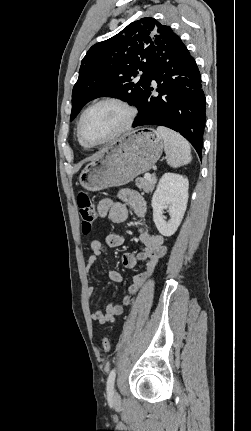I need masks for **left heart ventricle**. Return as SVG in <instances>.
I'll return each mask as SVG.
<instances>
[{
    "instance_id": "1",
    "label": "left heart ventricle",
    "mask_w": 251,
    "mask_h": 431,
    "mask_svg": "<svg viewBox=\"0 0 251 431\" xmlns=\"http://www.w3.org/2000/svg\"><path fill=\"white\" fill-rule=\"evenodd\" d=\"M126 112L114 104L99 105L90 110L84 118V138L92 143L99 142L115 133L125 122Z\"/></svg>"
}]
</instances>
